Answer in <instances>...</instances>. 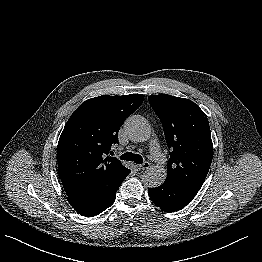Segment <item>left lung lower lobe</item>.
Segmentation results:
<instances>
[{
	"label": "left lung lower lobe",
	"instance_id": "1",
	"mask_svg": "<svg viewBox=\"0 0 262 262\" xmlns=\"http://www.w3.org/2000/svg\"><path fill=\"white\" fill-rule=\"evenodd\" d=\"M197 191L165 180L156 188L148 191L150 199L163 211L174 212L182 209L195 197Z\"/></svg>",
	"mask_w": 262,
	"mask_h": 262
}]
</instances>
